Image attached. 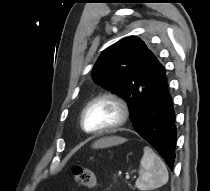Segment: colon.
I'll list each match as a JSON object with an SVG mask.
<instances>
[{
  "label": "colon",
  "instance_id": "obj_1",
  "mask_svg": "<svg viewBox=\"0 0 210 191\" xmlns=\"http://www.w3.org/2000/svg\"><path fill=\"white\" fill-rule=\"evenodd\" d=\"M72 175L78 184L89 188H94L97 186L96 176L91 169L82 166H74L72 168Z\"/></svg>",
  "mask_w": 210,
  "mask_h": 191
}]
</instances>
